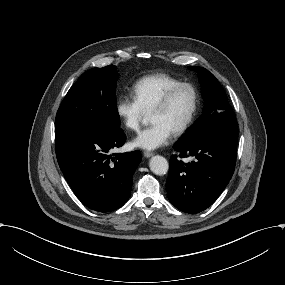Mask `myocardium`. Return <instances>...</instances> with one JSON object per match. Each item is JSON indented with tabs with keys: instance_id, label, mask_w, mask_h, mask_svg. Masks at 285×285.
Wrapping results in <instances>:
<instances>
[{
	"instance_id": "obj_1",
	"label": "myocardium",
	"mask_w": 285,
	"mask_h": 285,
	"mask_svg": "<svg viewBox=\"0 0 285 285\" xmlns=\"http://www.w3.org/2000/svg\"><path fill=\"white\" fill-rule=\"evenodd\" d=\"M181 87L190 88V90L192 91V95H193V102H192L191 109H190L188 115L186 116V118L181 123H179L178 125H176L173 128L172 131L174 133H180V132H183L184 130H186L187 127L192 123V121H193V119H194V117L198 111V107H199V103H200V94H199V90L196 87V85L193 84L192 82H188V81L178 82L177 84L171 86L162 95V97L158 100V102L151 109V111H153V110L164 109V108L168 107V105L170 104L174 94Z\"/></svg>"
}]
</instances>
